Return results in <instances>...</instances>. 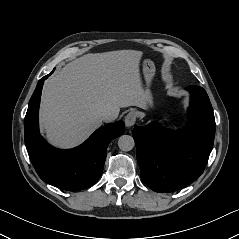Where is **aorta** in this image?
<instances>
[{"instance_id": "aorta-1", "label": "aorta", "mask_w": 239, "mask_h": 239, "mask_svg": "<svg viewBox=\"0 0 239 239\" xmlns=\"http://www.w3.org/2000/svg\"><path fill=\"white\" fill-rule=\"evenodd\" d=\"M134 146H135L134 139L130 135H122L118 139V147L122 151H125V152L130 151L134 148Z\"/></svg>"}]
</instances>
